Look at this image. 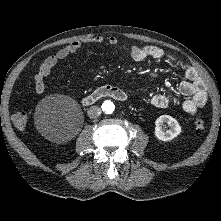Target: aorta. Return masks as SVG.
<instances>
[{"label": "aorta", "mask_w": 221, "mask_h": 221, "mask_svg": "<svg viewBox=\"0 0 221 221\" xmlns=\"http://www.w3.org/2000/svg\"><path fill=\"white\" fill-rule=\"evenodd\" d=\"M104 110H105V112L108 113V114L112 113V112L114 111V105H113V103L107 102V103L105 104Z\"/></svg>", "instance_id": "762f6f07"}]
</instances>
